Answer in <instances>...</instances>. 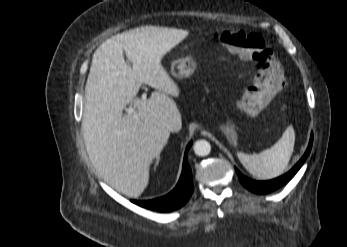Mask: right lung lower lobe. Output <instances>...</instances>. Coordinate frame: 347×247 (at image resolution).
<instances>
[{"label": "right lung lower lobe", "mask_w": 347, "mask_h": 247, "mask_svg": "<svg viewBox=\"0 0 347 247\" xmlns=\"http://www.w3.org/2000/svg\"><path fill=\"white\" fill-rule=\"evenodd\" d=\"M191 145L192 142L188 144L185 150L183 169L179 182L169 194L152 200L132 202L141 207L161 212H169L182 207L189 200L194 189L191 168L187 161V152Z\"/></svg>", "instance_id": "obj_1"}]
</instances>
